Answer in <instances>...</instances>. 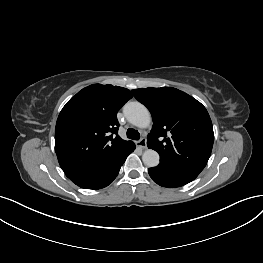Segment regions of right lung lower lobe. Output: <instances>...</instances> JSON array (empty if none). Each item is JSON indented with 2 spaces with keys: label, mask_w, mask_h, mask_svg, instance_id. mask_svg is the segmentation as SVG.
I'll list each match as a JSON object with an SVG mask.
<instances>
[{
  "label": "right lung lower lobe",
  "mask_w": 263,
  "mask_h": 263,
  "mask_svg": "<svg viewBox=\"0 0 263 263\" xmlns=\"http://www.w3.org/2000/svg\"><path fill=\"white\" fill-rule=\"evenodd\" d=\"M134 149L135 145H132L122 155L116 157L105 166L88 173L70 177L69 179L84 189L104 188L116 178L127 156L133 152Z\"/></svg>",
  "instance_id": "1"
}]
</instances>
